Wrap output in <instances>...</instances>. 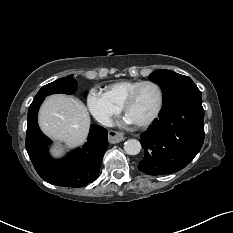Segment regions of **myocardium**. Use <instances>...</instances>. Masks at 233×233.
<instances>
[{
	"label": "myocardium",
	"instance_id": "f54148a6",
	"mask_svg": "<svg viewBox=\"0 0 233 233\" xmlns=\"http://www.w3.org/2000/svg\"><path fill=\"white\" fill-rule=\"evenodd\" d=\"M146 85H152L154 86L157 90H158V94H159V100H158V104L156 109L154 110V112L145 120L140 121V122H135L136 125L140 126V127H146L148 125H150L152 122L155 121V119L159 116L162 107H163V103H164V94L162 91V88L160 87V85L154 81H143L141 82L139 85H137L127 96L126 100L123 103V111L125 112V114H127L129 107L133 104V102L135 101L139 91Z\"/></svg>",
	"mask_w": 233,
	"mask_h": 233
}]
</instances>
